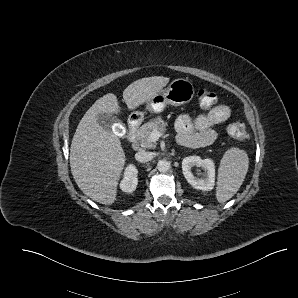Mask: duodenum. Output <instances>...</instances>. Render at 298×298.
Listing matches in <instances>:
<instances>
[{
    "label": "duodenum",
    "mask_w": 298,
    "mask_h": 298,
    "mask_svg": "<svg viewBox=\"0 0 298 298\" xmlns=\"http://www.w3.org/2000/svg\"><path fill=\"white\" fill-rule=\"evenodd\" d=\"M138 125L139 123L137 119H132L129 121L127 139L132 144L134 149H138L139 147V144L137 141ZM178 143L185 147H196L199 145V142L195 137L187 136V135H179Z\"/></svg>",
    "instance_id": "duodenum-1"
}]
</instances>
